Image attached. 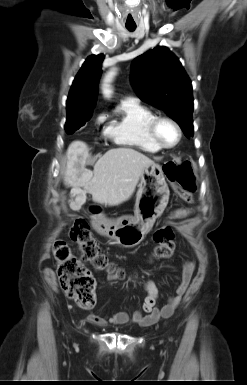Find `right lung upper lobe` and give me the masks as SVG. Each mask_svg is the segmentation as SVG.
<instances>
[{
  "label": "right lung upper lobe",
  "mask_w": 247,
  "mask_h": 385,
  "mask_svg": "<svg viewBox=\"0 0 247 385\" xmlns=\"http://www.w3.org/2000/svg\"><path fill=\"white\" fill-rule=\"evenodd\" d=\"M103 54L89 56L75 77L67 99V109L93 108L97 100L98 81Z\"/></svg>",
  "instance_id": "1"
}]
</instances>
